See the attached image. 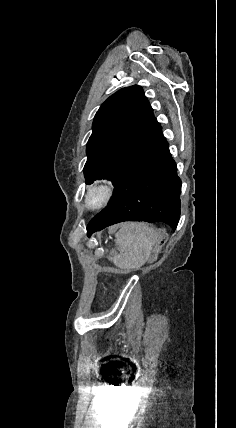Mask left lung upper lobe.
<instances>
[{
    "instance_id": "left-lung-upper-lobe-1",
    "label": "left lung upper lobe",
    "mask_w": 236,
    "mask_h": 428,
    "mask_svg": "<svg viewBox=\"0 0 236 428\" xmlns=\"http://www.w3.org/2000/svg\"><path fill=\"white\" fill-rule=\"evenodd\" d=\"M157 123L140 86L111 95L97 111L87 143V184L104 178L116 186Z\"/></svg>"
}]
</instances>
